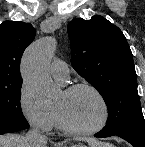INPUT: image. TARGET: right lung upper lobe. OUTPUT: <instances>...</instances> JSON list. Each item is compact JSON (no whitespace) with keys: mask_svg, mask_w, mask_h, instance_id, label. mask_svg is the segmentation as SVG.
<instances>
[{"mask_svg":"<svg viewBox=\"0 0 145 147\" xmlns=\"http://www.w3.org/2000/svg\"><path fill=\"white\" fill-rule=\"evenodd\" d=\"M34 37L35 29L29 23L5 21L0 25V87L22 84L20 60Z\"/></svg>","mask_w":145,"mask_h":147,"instance_id":"cb5924a9","label":"right lung upper lobe"}]
</instances>
